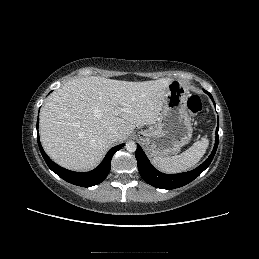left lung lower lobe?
I'll return each mask as SVG.
<instances>
[{
	"label": "left lung lower lobe",
	"instance_id": "0a47b994",
	"mask_svg": "<svg viewBox=\"0 0 259 259\" xmlns=\"http://www.w3.org/2000/svg\"><path fill=\"white\" fill-rule=\"evenodd\" d=\"M204 92L208 94V96L215 104L212 95L205 90ZM218 129H219V124L217 125V128H216L215 145H214L213 151L210 154V156L206 159V161H204L200 166H198L194 170L185 172V173H180V174H163L158 170H156L151 165L150 161L146 157L142 148L139 145H137L135 157L137 159L138 170L141 177L145 182H147L148 184L156 188L168 189V190L182 187L190 183L210 165L218 147Z\"/></svg>",
	"mask_w": 259,
	"mask_h": 259
}]
</instances>
